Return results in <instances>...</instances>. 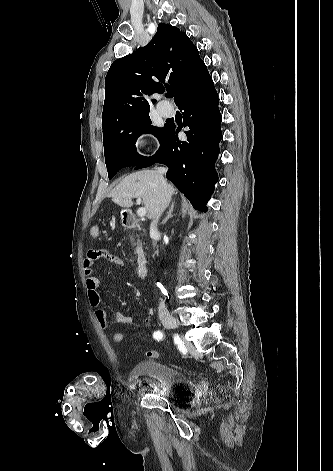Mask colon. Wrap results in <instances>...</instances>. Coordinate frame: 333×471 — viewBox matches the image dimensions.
Returning <instances> with one entry per match:
<instances>
[{
    "label": "colon",
    "mask_w": 333,
    "mask_h": 471,
    "mask_svg": "<svg viewBox=\"0 0 333 471\" xmlns=\"http://www.w3.org/2000/svg\"><path fill=\"white\" fill-rule=\"evenodd\" d=\"M90 234L92 237H98L100 235V227L98 225L91 226ZM112 339L116 345H122L125 342V334L123 332L116 331L114 332ZM146 355L148 358H157L159 353L155 350H150Z\"/></svg>",
    "instance_id": "1"
}]
</instances>
